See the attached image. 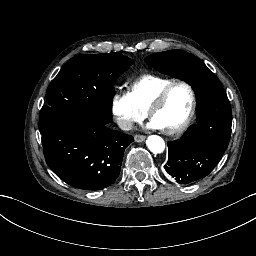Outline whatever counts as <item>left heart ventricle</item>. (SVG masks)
Wrapping results in <instances>:
<instances>
[{
	"instance_id": "left-heart-ventricle-1",
	"label": "left heart ventricle",
	"mask_w": 256,
	"mask_h": 256,
	"mask_svg": "<svg viewBox=\"0 0 256 256\" xmlns=\"http://www.w3.org/2000/svg\"><path fill=\"white\" fill-rule=\"evenodd\" d=\"M190 107L191 96L188 89L182 84H176L162 105L153 110L152 117L164 124L165 132H170L185 120Z\"/></svg>"
}]
</instances>
